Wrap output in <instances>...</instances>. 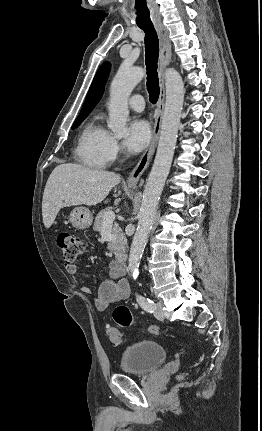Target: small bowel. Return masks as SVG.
Returning <instances> with one entry per match:
<instances>
[{
	"mask_svg": "<svg viewBox=\"0 0 262 431\" xmlns=\"http://www.w3.org/2000/svg\"><path fill=\"white\" fill-rule=\"evenodd\" d=\"M66 270L82 293L91 294L90 288L84 285L78 277L77 268L74 264H67ZM125 272L126 265L119 262L118 259L110 262L109 277L100 284L95 298V306L98 310L104 311L111 304L128 298L130 290L127 282L122 279Z\"/></svg>",
	"mask_w": 262,
	"mask_h": 431,
	"instance_id": "small-bowel-1",
	"label": "small bowel"
}]
</instances>
